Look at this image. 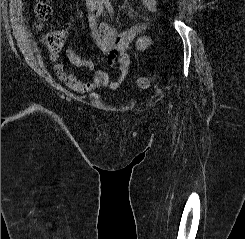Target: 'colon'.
I'll list each match as a JSON object with an SVG mask.
<instances>
[{
	"label": "colon",
	"mask_w": 245,
	"mask_h": 239,
	"mask_svg": "<svg viewBox=\"0 0 245 239\" xmlns=\"http://www.w3.org/2000/svg\"><path fill=\"white\" fill-rule=\"evenodd\" d=\"M36 18L41 25L43 22L48 20L52 14V9L48 3V0H39L34 8ZM63 39L59 33L50 32L44 36V44L46 48L51 52H57ZM153 84V78L150 76H143L137 80V85L140 89H147Z\"/></svg>",
	"instance_id": "5ec220e1"
}]
</instances>
